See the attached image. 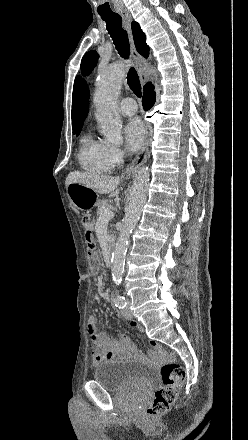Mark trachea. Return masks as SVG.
I'll return each instance as SVG.
<instances>
[{
  "label": "trachea",
  "instance_id": "1",
  "mask_svg": "<svg viewBox=\"0 0 248 440\" xmlns=\"http://www.w3.org/2000/svg\"><path fill=\"white\" fill-rule=\"evenodd\" d=\"M106 22L108 33L110 34L114 45L122 58L128 59L130 55V46L126 30L122 28V18L119 14L101 15ZM127 83L130 89L141 97V84L138 74L134 67H131L127 75Z\"/></svg>",
  "mask_w": 248,
  "mask_h": 440
}]
</instances>
